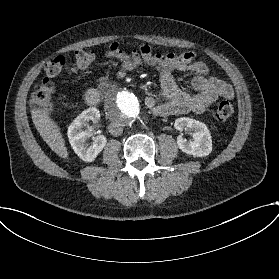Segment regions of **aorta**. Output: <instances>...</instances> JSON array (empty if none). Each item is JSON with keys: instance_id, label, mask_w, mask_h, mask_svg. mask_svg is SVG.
<instances>
[{"instance_id": "aorta-1", "label": "aorta", "mask_w": 279, "mask_h": 279, "mask_svg": "<svg viewBox=\"0 0 279 279\" xmlns=\"http://www.w3.org/2000/svg\"><path fill=\"white\" fill-rule=\"evenodd\" d=\"M140 101L127 90L112 92L106 100V114L112 121L121 125L131 124L140 114Z\"/></svg>"}]
</instances>
